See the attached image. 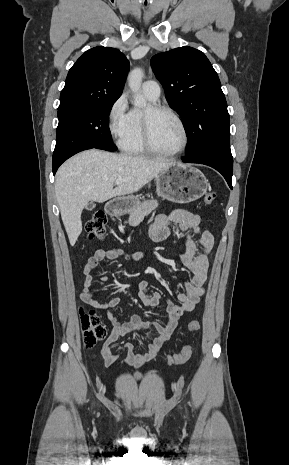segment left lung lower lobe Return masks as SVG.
<instances>
[{
    "mask_svg": "<svg viewBox=\"0 0 289 465\" xmlns=\"http://www.w3.org/2000/svg\"><path fill=\"white\" fill-rule=\"evenodd\" d=\"M185 163H200L219 171L232 189L233 159L218 154H194L182 157Z\"/></svg>",
    "mask_w": 289,
    "mask_h": 465,
    "instance_id": "left-lung-lower-lobe-1",
    "label": "left lung lower lobe"
}]
</instances>
